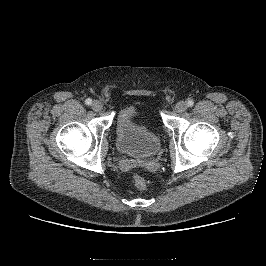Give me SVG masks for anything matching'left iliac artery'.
I'll list each match as a JSON object with an SVG mask.
<instances>
[{
  "label": "left iliac artery",
  "mask_w": 266,
  "mask_h": 266,
  "mask_svg": "<svg viewBox=\"0 0 266 266\" xmlns=\"http://www.w3.org/2000/svg\"><path fill=\"white\" fill-rule=\"evenodd\" d=\"M187 105L190 106V107L193 106L194 105V101L192 99H188L187 100Z\"/></svg>",
  "instance_id": "obj_1"
}]
</instances>
